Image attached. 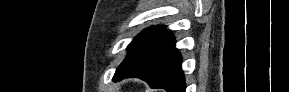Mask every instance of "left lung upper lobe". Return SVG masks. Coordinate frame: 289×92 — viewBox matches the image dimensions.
Instances as JSON below:
<instances>
[{
  "instance_id": "5c2ea615",
  "label": "left lung upper lobe",
  "mask_w": 289,
  "mask_h": 92,
  "mask_svg": "<svg viewBox=\"0 0 289 92\" xmlns=\"http://www.w3.org/2000/svg\"><path fill=\"white\" fill-rule=\"evenodd\" d=\"M166 30L164 26H154L145 29L136 36L133 41L128 45V54L124 61L120 64L118 69L125 67L139 55H141L158 37H160ZM117 69V70H118Z\"/></svg>"
}]
</instances>
